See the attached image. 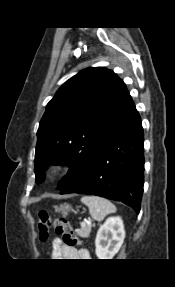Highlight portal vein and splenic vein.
I'll return each instance as SVG.
<instances>
[{
    "instance_id": "portal-vein-and-splenic-vein-1",
    "label": "portal vein and splenic vein",
    "mask_w": 175,
    "mask_h": 287,
    "mask_svg": "<svg viewBox=\"0 0 175 287\" xmlns=\"http://www.w3.org/2000/svg\"><path fill=\"white\" fill-rule=\"evenodd\" d=\"M87 224H91V221H87ZM85 226L84 223L81 224V227Z\"/></svg>"
}]
</instances>
